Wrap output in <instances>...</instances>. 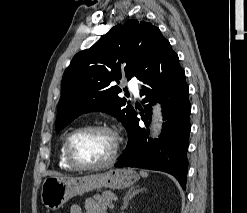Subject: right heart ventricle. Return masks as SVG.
<instances>
[{
  "instance_id": "1",
  "label": "right heart ventricle",
  "mask_w": 247,
  "mask_h": 213,
  "mask_svg": "<svg viewBox=\"0 0 247 213\" xmlns=\"http://www.w3.org/2000/svg\"><path fill=\"white\" fill-rule=\"evenodd\" d=\"M68 134L64 136L61 144H60V148H59V154H58V164H59V167L62 169V170H66V171H75L76 168H74L73 166H71L67 160H66V157H65V150H64V147H65V141H66V138H67Z\"/></svg>"
}]
</instances>
